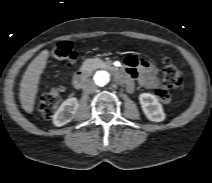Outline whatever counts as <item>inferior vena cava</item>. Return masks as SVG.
Returning <instances> with one entry per match:
<instances>
[{
	"instance_id": "1",
	"label": "inferior vena cava",
	"mask_w": 212,
	"mask_h": 183,
	"mask_svg": "<svg viewBox=\"0 0 212 183\" xmlns=\"http://www.w3.org/2000/svg\"><path fill=\"white\" fill-rule=\"evenodd\" d=\"M96 89H97V86H96V84H95L94 82H92V81H88V82L83 86L84 92H85V93H88V94L95 92Z\"/></svg>"
}]
</instances>
